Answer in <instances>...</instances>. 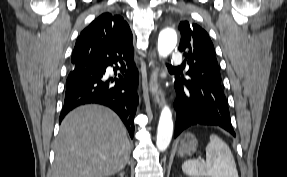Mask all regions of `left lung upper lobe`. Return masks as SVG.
I'll use <instances>...</instances> for the list:
<instances>
[{"instance_id": "5c2ea615", "label": "left lung upper lobe", "mask_w": 287, "mask_h": 177, "mask_svg": "<svg viewBox=\"0 0 287 177\" xmlns=\"http://www.w3.org/2000/svg\"><path fill=\"white\" fill-rule=\"evenodd\" d=\"M179 30L182 35L179 51L184 52L189 59L185 79L200 85L204 91L215 86L222 89L215 49L207 32L188 21L180 22Z\"/></svg>"}]
</instances>
